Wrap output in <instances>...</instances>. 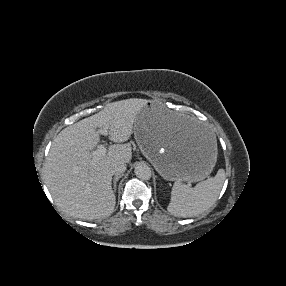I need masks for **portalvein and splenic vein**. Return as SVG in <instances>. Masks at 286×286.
I'll return each instance as SVG.
<instances>
[{
  "label": "portal vein and splenic vein",
  "instance_id": "portal-vein-and-splenic-vein-1",
  "mask_svg": "<svg viewBox=\"0 0 286 286\" xmlns=\"http://www.w3.org/2000/svg\"><path fill=\"white\" fill-rule=\"evenodd\" d=\"M100 134L107 136L108 135V129L107 128H103L99 131ZM107 152V149L105 147L104 144H100L98 145L97 149L95 151H93L92 155H93V162H96L100 157H102L103 155H105Z\"/></svg>",
  "mask_w": 286,
  "mask_h": 286
}]
</instances>
